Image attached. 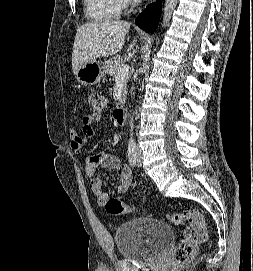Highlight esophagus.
Masks as SVG:
<instances>
[{
	"label": "esophagus",
	"mask_w": 253,
	"mask_h": 271,
	"mask_svg": "<svg viewBox=\"0 0 253 271\" xmlns=\"http://www.w3.org/2000/svg\"><path fill=\"white\" fill-rule=\"evenodd\" d=\"M155 0H151V2L150 3H152V2H154Z\"/></svg>",
	"instance_id": "esophagus-1"
}]
</instances>
